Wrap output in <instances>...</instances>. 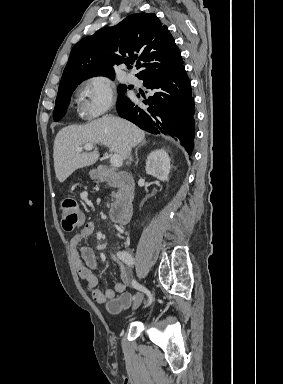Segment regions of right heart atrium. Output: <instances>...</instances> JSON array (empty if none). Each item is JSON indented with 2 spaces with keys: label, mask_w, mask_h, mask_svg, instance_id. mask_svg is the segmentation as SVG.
<instances>
[{
  "label": "right heart atrium",
  "mask_w": 283,
  "mask_h": 384,
  "mask_svg": "<svg viewBox=\"0 0 283 384\" xmlns=\"http://www.w3.org/2000/svg\"><path fill=\"white\" fill-rule=\"evenodd\" d=\"M78 114L87 122H98L115 104V89L112 82L102 75H92L81 80L77 86Z\"/></svg>",
  "instance_id": "obj_1"
}]
</instances>
